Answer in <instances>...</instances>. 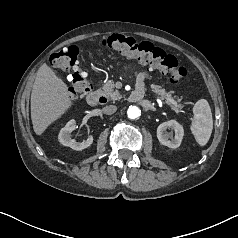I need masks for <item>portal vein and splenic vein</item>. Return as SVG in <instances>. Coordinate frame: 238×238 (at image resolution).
<instances>
[{"instance_id": "obj_1", "label": "portal vein and splenic vein", "mask_w": 238, "mask_h": 238, "mask_svg": "<svg viewBox=\"0 0 238 238\" xmlns=\"http://www.w3.org/2000/svg\"><path fill=\"white\" fill-rule=\"evenodd\" d=\"M169 101L172 103V104H177L173 99H169Z\"/></svg>"}]
</instances>
